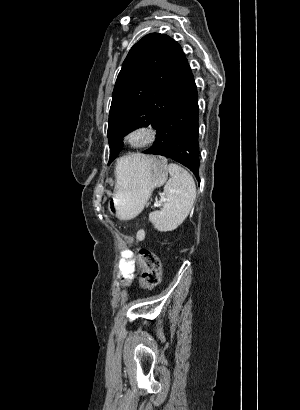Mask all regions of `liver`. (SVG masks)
<instances>
[{"instance_id":"liver-1","label":"liver","mask_w":300,"mask_h":410,"mask_svg":"<svg viewBox=\"0 0 300 410\" xmlns=\"http://www.w3.org/2000/svg\"><path fill=\"white\" fill-rule=\"evenodd\" d=\"M127 159L128 161H131L132 163H139L140 161L147 159V156L141 155V154H132ZM116 187H117V183H116Z\"/></svg>"}]
</instances>
